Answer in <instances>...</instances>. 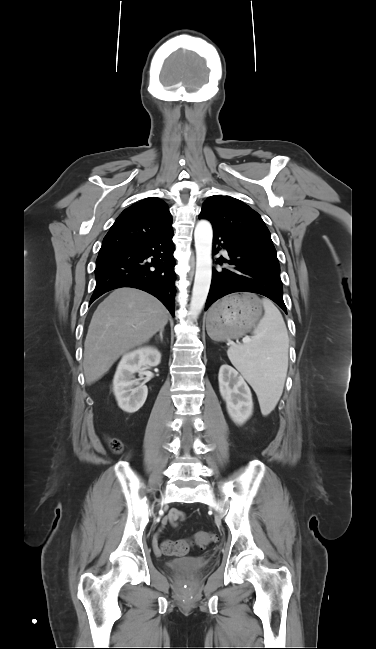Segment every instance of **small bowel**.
<instances>
[{
  "label": "small bowel",
  "instance_id": "1",
  "mask_svg": "<svg viewBox=\"0 0 376 649\" xmlns=\"http://www.w3.org/2000/svg\"><path fill=\"white\" fill-rule=\"evenodd\" d=\"M184 517H185L184 513H183L181 510H178V509H172V510L170 511V513H169V521H170L172 524H174V525H175L178 521L184 519ZM155 553H156V554H160V553H161L159 547H157V546L155 547Z\"/></svg>",
  "mask_w": 376,
  "mask_h": 649
}]
</instances>
